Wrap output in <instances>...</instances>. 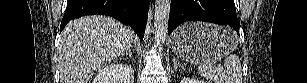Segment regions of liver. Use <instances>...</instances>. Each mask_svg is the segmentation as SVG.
I'll use <instances>...</instances> for the list:
<instances>
[{
    "label": "liver",
    "mask_w": 307,
    "mask_h": 83,
    "mask_svg": "<svg viewBox=\"0 0 307 83\" xmlns=\"http://www.w3.org/2000/svg\"><path fill=\"white\" fill-rule=\"evenodd\" d=\"M133 45L131 29L108 16H85L69 22L58 50L60 83H88L102 65Z\"/></svg>",
    "instance_id": "liver-1"
}]
</instances>
